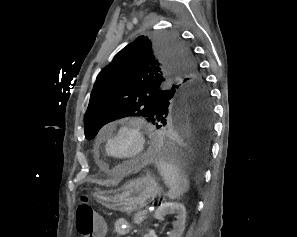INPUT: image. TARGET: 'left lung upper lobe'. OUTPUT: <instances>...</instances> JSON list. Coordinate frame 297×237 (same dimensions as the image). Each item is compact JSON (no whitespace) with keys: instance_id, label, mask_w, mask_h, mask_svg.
<instances>
[{"instance_id":"left-lung-upper-lobe-1","label":"left lung upper lobe","mask_w":297,"mask_h":237,"mask_svg":"<svg viewBox=\"0 0 297 237\" xmlns=\"http://www.w3.org/2000/svg\"><path fill=\"white\" fill-rule=\"evenodd\" d=\"M194 101H210V95L190 49L175 34L141 36L98 74L84 116L85 137L125 116L158 126L174 104Z\"/></svg>"}]
</instances>
